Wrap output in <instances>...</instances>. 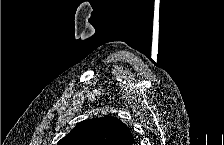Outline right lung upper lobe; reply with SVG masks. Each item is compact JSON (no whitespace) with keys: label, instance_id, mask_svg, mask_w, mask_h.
Here are the masks:
<instances>
[{"label":"right lung upper lobe","instance_id":"obj_1","mask_svg":"<svg viewBox=\"0 0 224 145\" xmlns=\"http://www.w3.org/2000/svg\"><path fill=\"white\" fill-rule=\"evenodd\" d=\"M130 129L116 117L105 116L78 123L58 145H132Z\"/></svg>","mask_w":224,"mask_h":145}]
</instances>
